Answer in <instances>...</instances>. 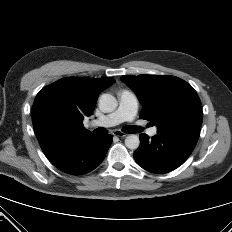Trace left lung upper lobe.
<instances>
[{
  "instance_id": "left-lung-upper-lobe-1",
  "label": "left lung upper lobe",
  "mask_w": 232,
  "mask_h": 232,
  "mask_svg": "<svg viewBox=\"0 0 232 232\" xmlns=\"http://www.w3.org/2000/svg\"><path fill=\"white\" fill-rule=\"evenodd\" d=\"M121 79L144 106L140 118L156 122L157 132H200L201 101L186 81L167 75H126Z\"/></svg>"
}]
</instances>
